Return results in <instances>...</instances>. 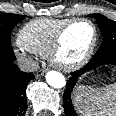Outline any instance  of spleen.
<instances>
[{"label":"spleen","mask_w":116,"mask_h":116,"mask_svg":"<svg viewBox=\"0 0 116 116\" xmlns=\"http://www.w3.org/2000/svg\"><path fill=\"white\" fill-rule=\"evenodd\" d=\"M74 104L81 116H116V83L101 89L78 86Z\"/></svg>","instance_id":"spleen-1"}]
</instances>
